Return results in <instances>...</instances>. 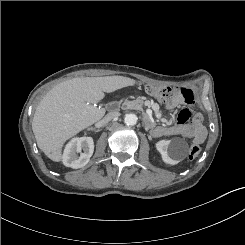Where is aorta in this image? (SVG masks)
<instances>
[{
  "label": "aorta",
  "instance_id": "762f6f07",
  "mask_svg": "<svg viewBox=\"0 0 245 245\" xmlns=\"http://www.w3.org/2000/svg\"><path fill=\"white\" fill-rule=\"evenodd\" d=\"M137 116L135 114H126L124 117V123L128 126H133L137 123Z\"/></svg>",
  "mask_w": 245,
  "mask_h": 245
}]
</instances>
